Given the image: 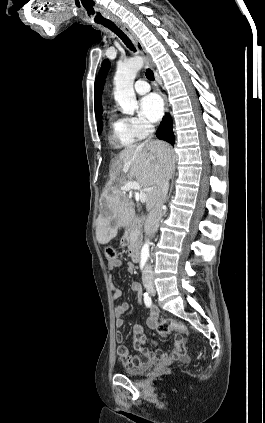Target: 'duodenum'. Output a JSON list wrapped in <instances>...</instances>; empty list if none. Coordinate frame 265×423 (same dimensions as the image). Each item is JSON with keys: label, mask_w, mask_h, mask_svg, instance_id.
I'll return each instance as SVG.
<instances>
[{"label": "duodenum", "mask_w": 265, "mask_h": 423, "mask_svg": "<svg viewBox=\"0 0 265 423\" xmlns=\"http://www.w3.org/2000/svg\"><path fill=\"white\" fill-rule=\"evenodd\" d=\"M130 254L133 262L138 263L140 261L139 245L135 239L131 240Z\"/></svg>", "instance_id": "obj_1"}]
</instances>
